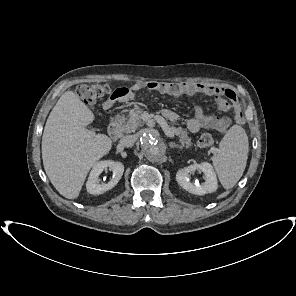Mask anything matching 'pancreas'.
I'll return each mask as SVG.
<instances>
[{
	"instance_id": "cf45deb5",
	"label": "pancreas",
	"mask_w": 296,
	"mask_h": 296,
	"mask_svg": "<svg viewBox=\"0 0 296 296\" xmlns=\"http://www.w3.org/2000/svg\"><path fill=\"white\" fill-rule=\"evenodd\" d=\"M142 112V109L136 108L131 110L127 116L124 114L117 115L116 119L120 124V130L124 133H131L140 128L144 124L141 117ZM170 128L174 134L178 136L182 146H185L186 148H190L192 146L191 138L188 136V133L184 128L175 126H171Z\"/></svg>"
}]
</instances>
